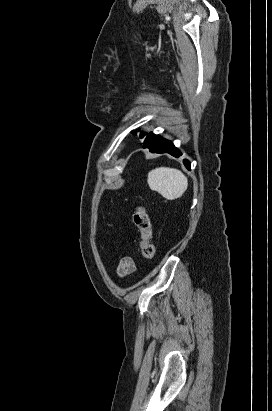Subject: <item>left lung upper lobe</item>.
Returning a JSON list of instances; mask_svg holds the SVG:
<instances>
[{
    "label": "left lung upper lobe",
    "instance_id": "left-lung-upper-lobe-1",
    "mask_svg": "<svg viewBox=\"0 0 272 411\" xmlns=\"http://www.w3.org/2000/svg\"><path fill=\"white\" fill-rule=\"evenodd\" d=\"M132 133H133L134 135L137 134V132H136L135 130H133ZM143 137H144V134H141V135H140V138H143Z\"/></svg>",
    "mask_w": 272,
    "mask_h": 411
}]
</instances>
